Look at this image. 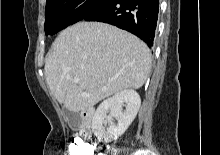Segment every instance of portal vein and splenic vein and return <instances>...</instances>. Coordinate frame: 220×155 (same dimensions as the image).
<instances>
[{
  "label": "portal vein and splenic vein",
  "instance_id": "obj_1",
  "mask_svg": "<svg viewBox=\"0 0 220 155\" xmlns=\"http://www.w3.org/2000/svg\"><path fill=\"white\" fill-rule=\"evenodd\" d=\"M74 82H75V83H78V82H79V79H78V78H75V79H74ZM82 95H83V96H86V97L90 96V95L87 94V93H83Z\"/></svg>",
  "mask_w": 220,
  "mask_h": 155
}]
</instances>
